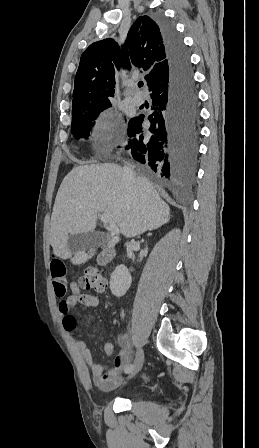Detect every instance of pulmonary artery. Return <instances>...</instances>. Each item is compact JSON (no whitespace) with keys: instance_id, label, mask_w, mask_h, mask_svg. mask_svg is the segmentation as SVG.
<instances>
[{"instance_id":"pulmonary-artery-1","label":"pulmonary artery","mask_w":259,"mask_h":448,"mask_svg":"<svg viewBox=\"0 0 259 448\" xmlns=\"http://www.w3.org/2000/svg\"><path fill=\"white\" fill-rule=\"evenodd\" d=\"M137 86H138V83H137V82H134V83L132 84V88H137ZM130 99H131L133 102H135L136 104H141V103L143 102V98H142L140 95L132 96V97H130Z\"/></svg>"}]
</instances>
